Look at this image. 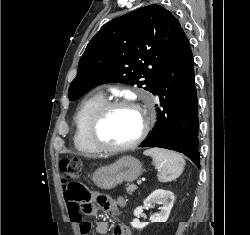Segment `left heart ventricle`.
Here are the masks:
<instances>
[{"label": "left heart ventricle", "instance_id": "b2bd125f", "mask_svg": "<svg viewBox=\"0 0 250 235\" xmlns=\"http://www.w3.org/2000/svg\"><path fill=\"white\" fill-rule=\"evenodd\" d=\"M142 126L141 114L132 108L120 107L111 111L100 128L101 139L112 145L133 141Z\"/></svg>", "mask_w": 250, "mask_h": 235}]
</instances>
